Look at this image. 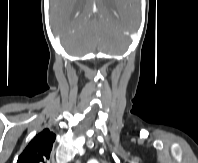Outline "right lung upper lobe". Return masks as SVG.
<instances>
[{
    "label": "right lung upper lobe",
    "instance_id": "1",
    "mask_svg": "<svg viewBox=\"0 0 198 163\" xmlns=\"http://www.w3.org/2000/svg\"><path fill=\"white\" fill-rule=\"evenodd\" d=\"M55 134L49 129L38 133L18 157L17 163H46L50 157Z\"/></svg>",
    "mask_w": 198,
    "mask_h": 163
}]
</instances>
